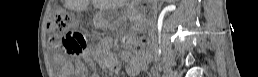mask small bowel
<instances>
[{
    "mask_svg": "<svg viewBox=\"0 0 258 77\" xmlns=\"http://www.w3.org/2000/svg\"><path fill=\"white\" fill-rule=\"evenodd\" d=\"M96 53H101L100 51H96ZM105 61L107 66L114 72H118L120 70L119 60L110 52L104 54ZM153 56L151 53L144 52L138 55H134L132 53H125L123 55V60L126 63V70L130 74H138L140 71L145 69L149 63L151 62ZM67 70V68H65ZM67 71H64L66 73Z\"/></svg>",
    "mask_w": 258,
    "mask_h": 77,
    "instance_id": "obj_1",
    "label": "small bowel"
}]
</instances>
